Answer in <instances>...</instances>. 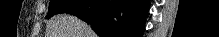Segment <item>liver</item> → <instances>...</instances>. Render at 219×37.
Returning a JSON list of instances; mask_svg holds the SVG:
<instances>
[{
	"mask_svg": "<svg viewBox=\"0 0 219 37\" xmlns=\"http://www.w3.org/2000/svg\"><path fill=\"white\" fill-rule=\"evenodd\" d=\"M46 37H96L89 25L75 16L59 14L48 23Z\"/></svg>",
	"mask_w": 219,
	"mask_h": 37,
	"instance_id": "obj_1",
	"label": "liver"
}]
</instances>
